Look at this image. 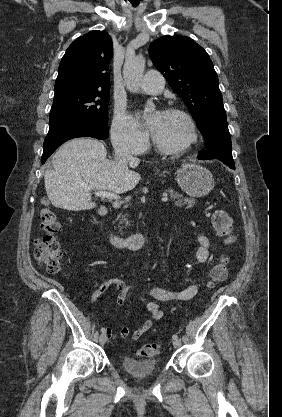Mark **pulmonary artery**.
<instances>
[{
    "label": "pulmonary artery",
    "instance_id": "e3ab8cb5",
    "mask_svg": "<svg viewBox=\"0 0 282 417\" xmlns=\"http://www.w3.org/2000/svg\"><path fill=\"white\" fill-rule=\"evenodd\" d=\"M165 86L164 77L155 70L147 72L141 81L139 82L138 88L140 91L147 94H158Z\"/></svg>",
    "mask_w": 282,
    "mask_h": 417
}]
</instances>
